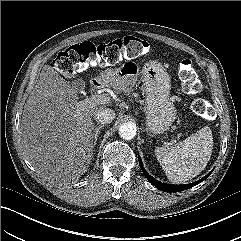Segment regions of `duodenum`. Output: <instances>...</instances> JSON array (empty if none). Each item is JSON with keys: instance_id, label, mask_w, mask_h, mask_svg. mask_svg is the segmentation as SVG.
<instances>
[{"instance_id": "obj_1", "label": "duodenum", "mask_w": 241, "mask_h": 241, "mask_svg": "<svg viewBox=\"0 0 241 241\" xmlns=\"http://www.w3.org/2000/svg\"><path fill=\"white\" fill-rule=\"evenodd\" d=\"M102 86H103V81L99 78L92 79V81L90 83V89L92 91H96V90L102 88Z\"/></svg>"}]
</instances>
